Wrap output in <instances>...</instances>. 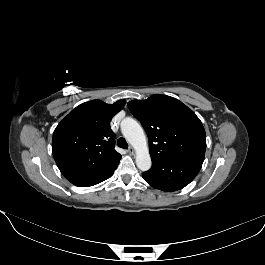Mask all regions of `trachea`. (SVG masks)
<instances>
[{
	"label": "trachea",
	"instance_id": "3493384b",
	"mask_svg": "<svg viewBox=\"0 0 265 265\" xmlns=\"http://www.w3.org/2000/svg\"><path fill=\"white\" fill-rule=\"evenodd\" d=\"M117 145L120 147V148H123V149H127L128 148V143L126 142V140L124 138H119L118 141H117Z\"/></svg>",
	"mask_w": 265,
	"mask_h": 265
}]
</instances>
